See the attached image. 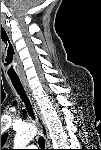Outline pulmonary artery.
Listing matches in <instances>:
<instances>
[{
  "instance_id": "e3ab8cb5",
  "label": "pulmonary artery",
  "mask_w": 101,
  "mask_h": 150,
  "mask_svg": "<svg viewBox=\"0 0 101 150\" xmlns=\"http://www.w3.org/2000/svg\"><path fill=\"white\" fill-rule=\"evenodd\" d=\"M28 148H29V149H34L35 146H34V145H30V146H28Z\"/></svg>"
}]
</instances>
